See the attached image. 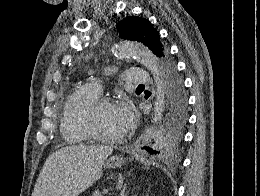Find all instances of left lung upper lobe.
Segmentation results:
<instances>
[{
    "label": "left lung upper lobe",
    "mask_w": 260,
    "mask_h": 196,
    "mask_svg": "<svg viewBox=\"0 0 260 196\" xmlns=\"http://www.w3.org/2000/svg\"><path fill=\"white\" fill-rule=\"evenodd\" d=\"M120 37L137 41L149 47L160 58L165 77L164 107L159 126L150 134L153 153L176 151L183 139V129L187 121V97L183 82L167 47L160 41L158 31L145 18L128 16L117 26Z\"/></svg>",
    "instance_id": "left-lung-upper-lobe-1"
}]
</instances>
